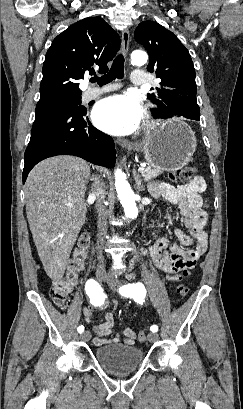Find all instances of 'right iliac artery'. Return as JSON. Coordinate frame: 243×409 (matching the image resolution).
Wrapping results in <instances>:
<instances>
[{"label": "right iliac artery", "instance_id": "obj_1", "mask_svg": "<svg viewBox=\"0 0 243 409\" xmlns=\"http://www.w3.org/2000/svg\"><path fill=\"white\" fill-rule=\"evenodd\" d=\"M85 290L87 295L89 296L92 304L94 305H101L105 300V295L103 293V289L101 286L96 282L94 279H89L85 285ZM79 333L84 331V326H79L77 328Z\"/></svg>", "mask_w": 243, "mask_h": 409}]
</instances>
